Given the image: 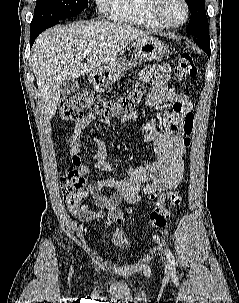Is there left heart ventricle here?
Instances as JSON below:
<instances>
[{"label": "left heart ventricle", "mask_w": 239, "mask_h": 303, "mask_svg": "<svg viewBox=\"0 0 239 303\" xmlns=\"http://www.w3.org/2000/svg\"><path fill=\"white\" fill-rule=\"evenodd\" d=\"M160 13L170 24H179L184 19V6L181 0H162Z\"/></svg>", "instance_id": "b2bd125f"}]
</instances>
